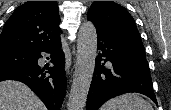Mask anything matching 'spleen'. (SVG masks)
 <instances>
[{"instance_id":"spleen-1","label":"spleen","mask_w":171,"mask_h":110,"mask_svg":"<svg viewBox=\"0 0 171 110\" xmlns=\"http://www.w3.org/2000/svg\"><path fill=\"white\" fill-rule=\"evenodd\" d=\"M101 110H153V107L137 94H124L107 101Z\"/></svg>"}]
</instances>
